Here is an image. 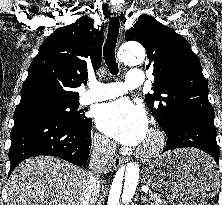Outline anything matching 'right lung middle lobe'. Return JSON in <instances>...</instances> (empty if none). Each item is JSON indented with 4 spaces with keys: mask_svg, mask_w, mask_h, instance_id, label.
Wrapping results in <instances>:
<instances>
[{
    "mask_svg": "<svg viewBox=\"0 0 222 205\" xmlns=\"http://www.w3.org/2000/svg\"><path fill=\"white\" fill-rule=\"evenodd\" d=\"M79 102H59L50 101L45 102L28 111H38L50 113L54 116L60 117L66 123L77 126H88L92 120L85 116L83 110H77Z\"/></svg>",
    "mask_w": 222,
    "mask_h": 205,
    "instance_id": "dd1d6c3e",
    "label": "right lung middle lobe"
}]
</instances>
